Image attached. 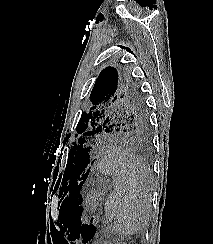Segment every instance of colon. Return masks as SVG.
Returning <instances> with one entry per match:
<instances>
[{
	"mask_svg": "<svg viewBox=\"0 0 213 244\" xmlns=\"http://www.w3.org/2000/svg\"><path fill=\"white\" fill-rule=\"evenodd\" d=\"M98 111H100V110H98ZM101 113L104 114V110H102Z\"/></svg>",
	"mask_w": 213,
	"mask_h": 244,
	"instance_id": "5ec220e1",
	"label": "colon"
}]
</instances>
